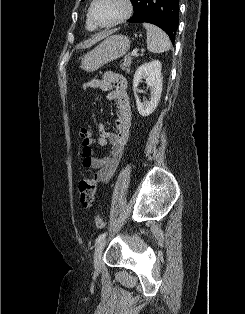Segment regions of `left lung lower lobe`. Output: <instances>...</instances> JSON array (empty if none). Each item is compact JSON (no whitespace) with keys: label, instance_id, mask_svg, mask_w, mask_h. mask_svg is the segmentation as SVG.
Here are the masks:
<instances>
[{"label":"left lung lower lobe","instance_id":"obj_1","mask_svg":"<svg viewBox=\"0 0 245 314\" xmlns=\"http://www.w3.org/2000/svg\"><path fill=\"white\" fill-rule=\"evenodd\" d=\"M179 0H141L140 10L128 21L147 22L163 29L174 42L178 28Z\"/></svg>","mask_w":245,"mask_h":314}]
</instances>
